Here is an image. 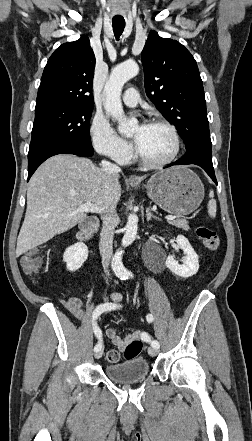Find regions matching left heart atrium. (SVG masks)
<instances>
[{
	"instance_id": "1",
	"label": "left heart atrium",
	"mask_w": 252,
	"mask_h": 441,
	"mask_svg": "<svg viewBox=\"0 0 252 441\" xmlns=\"http://www.w3.org/2000/svg\"><path fill=\"white\" fill-rule=\"evenodd\" d=\"M135 145H138V139H134Z\"/></svg>"
}]
</instances>
